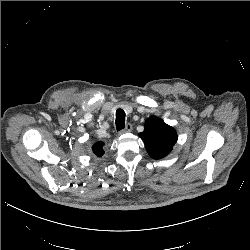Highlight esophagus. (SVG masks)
Returning <instances> with one entry per match:
<instances>
[{
	"mask_svg": "<svg viewBox=\"0 0 250 250\" xmlns=\"http://www.w3.org/2000/svg\"><path fill=\"white\" fill-rule=\"evenodd\" d=\"M133 129L132 125L130 123H128L125 128L123 130L120 131V134H124V133H129L131 132Z\"/></svg>",
	"mask_w": 250,
	"mask_h": 250,
	"instance_id": "obj_1",
	"label": "esophagus"
}]
</instances>
